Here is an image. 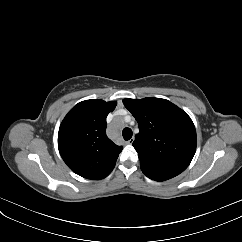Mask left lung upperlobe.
I'll return each mask as SVG.
<instances>
[{"mask_svg":"<svg viewBox=\"0 0 242 242\" xmlns=\"http://www.w3.org/2000/svg\"><path fill=\"white\" fill-rule=\"evenodd\" d=\"M123 104L138 122L139 133L133 146L142 172L156 181L183 172L196 151V130L191 118L165 99H123Z\"/></svg>","mask_w":242,"mask_h":242,"instance_id":"obj_1","label":"left lung upper lobe"}]
</instances>
